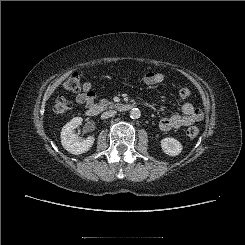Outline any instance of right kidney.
<instances>
[{"label":"right kidney","instance_id":"obj_1","mask_svg":"<svg viewBox=\"0 0 245 245\" xmlns=\"http://www.w3.org/2000/svg\"><path fill=\"white\" fill-rule=\"evenodd\" d=\"M83 119L75 117L69 121L61 130L62 146L71 154L80 155L87 152L93 145L95 138L89 136L87 138L78 137L74 133V129L81 125Z\"/></svg>","mask_w":245,"mask_h":245}]
</instances>
